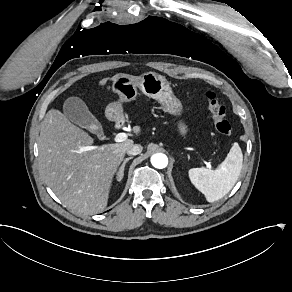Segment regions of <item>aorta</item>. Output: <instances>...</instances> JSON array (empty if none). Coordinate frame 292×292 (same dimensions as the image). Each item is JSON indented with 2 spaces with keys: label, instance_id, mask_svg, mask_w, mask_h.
<instances>
[{
  "label": "aorta",
  "instance_id": "1",
  "mask_svg": "<svg viewBox=\"0 0 292 292\" xmlns=\"http://www.w3.org/2000/svg\"><path fill=\"white\" fill-rule=\"evenodd\" d=\"M151 163L155 168L163 169L168 165V158L162 153L154 154L151 157Z\"/></svg>",
  "mask_w": 292,
  "mask_h": 292
}]
</instances>
